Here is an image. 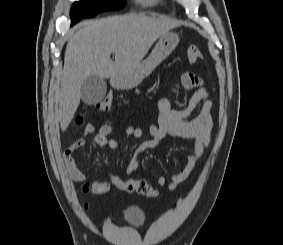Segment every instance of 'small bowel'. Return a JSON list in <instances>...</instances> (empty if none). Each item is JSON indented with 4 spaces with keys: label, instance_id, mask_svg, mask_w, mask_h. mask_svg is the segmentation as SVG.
I'll return each instance as SVG.
<instances>
[{
    "label": "small bowel",
    "instance_id": "small-bowel-1",
    "mask_svg": "<svg viewBox=\"0 0 283 245\" xmlns=\"http://www.w3.org/2000/svg\"><path fill=\"white\" fill-rule=\"evenodd\" d=\"M181 83L185 89L195 90L186 106L181 109H175L166 97L161 96L158 99V123L146 125V130L151 136V139L144 140L141 143L127 166V174L130 176L138 167L139 156L148 149L158 148L166 136H174L187 140L192 151L187 155L184 167L178 173L173 174L170 180H167L165 176H159L157 179V183L160 186H167L170 190L176 189L190 177L211 141V134L214 127L211 115L213 103L208 99L209 93L204 87L203 81L195 74L185 72L181 76ZM200 104H202L201 111L193 115L194 110ZM93 130L94 127L92 125H87L85 134L91 133ZM112 133L113 127L105 124L97 130L93 141L100 147L117 150L119 143L116 139L110 137ZM125 134L134 139H142L144 137V131L137 126H128L125 129ZM85 144V139L79 138L67 147L63 154L67 173L73 180L78 182L84 181L85 176L76 166V153ZM108 177L109 182L93 183L92 193L94 195L100 196L106 194L110 190L111 185H114L118 190L125 191L124 183L126 180L114 176L110 172L108 173ZM84 207L87 209L88 204H85Z\"/></svg>",
    "mask_w": 283,
    "mask_h": 245
}]
</instances>
